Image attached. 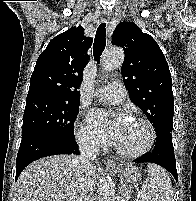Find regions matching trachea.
Returning a JSON list of instances; mask_svg holds the SVG:
<instances>
[{
	"label": "trachea",
	"mask_w": 196,
	"mask_h": 201,
	"mask_svg": "<svg viewBox=\"0 0 196 201\" xmlns=\"http://www.w3.org/2000/svg\"><path fill=\"white\" fill-rule=\"evenodd\" d=\"M105 26L106 23H101L97 28L95 40H94V48H93V55L94 59L99 63L100 57L105 49L106 46V34H105Z\"/></svg>",
	"instance_id": "obj_1"
}]
</instances>
